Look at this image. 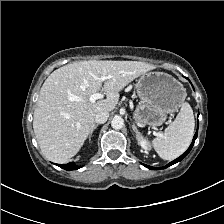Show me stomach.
Returning a JSON list of instances; mask_svg holds the SVG:
<instances>
[{"label":"stomach","mask_w":224,"mask_h":224,"mask_svg":"<svg viewBox=\"0 0 224 224\" xmlns=\"http://www.w3.org/2000/svg\"><path fill=\"white\" fill-rule=\"evenodd\" d=\"M140 102L133 118L137 123L160 126L168 114L178 111L186 98V90L173 76L164 72H146L137 81Z\"/></svg>","instance_id":"obj_1"}]
</instances>
